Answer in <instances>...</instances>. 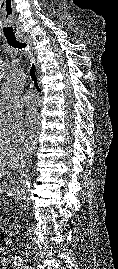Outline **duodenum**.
Here are the masks:
<instances>
[{"label":"duodenum","mask_w":118,"mask_h":269,"mask_svg":"<svg viewBox=\"0 0 118 269\" xmlns=\"http://www.w3.org/2000/svg\"><path fill=\"white\" fill-rule=\"evenodd\" d=\"M20 229H21V223L19 221H12L8 223L7 228H6L7 233L9 235L17 234Z\"/></svg>","instance_id":"obj_1"}]
</instances>
